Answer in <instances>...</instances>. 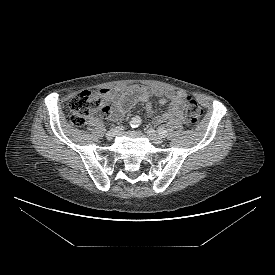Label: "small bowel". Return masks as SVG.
Returning a JSON list of instances; mask_svg holds the SVG:
<instances>
[{
  "instance_id": "small-bowel-1",
  "label": "small bowel",
  "mask_w": 275,
  "mask_h": 275,
  "mask_svg": "<svg viewBox=\"0 0 275 275\" xmlns=\"http://www.w3.org/2000/svg\"><path fill=\"white\" fill-rule=\"evenodd\" d=\"M105 102L109 103L103 114L114 121L122 119L136 103L145 104L146 113L155 124L166 121L183 120L185 107V93L172 89H160L144 85L120 86L113 89H102ZM157 97L160 105L169 103L168 109L163 113H156L152 98Z\"/></svg>"
}]
</instances>
